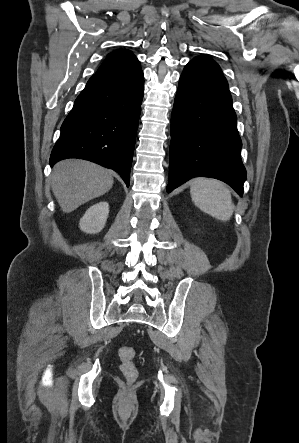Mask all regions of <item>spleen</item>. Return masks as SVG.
I'll return each instance as SVG.
<instances>
[{"mask_svg": "<svg viewBox=\"0 0 299 443\" xmlns=\"http://www.w3.org/2000/svg\"><path fill=\"white\" fill-rule=\"evenodd\" d=\"M191 197L197 207L212 217L227 221L233 213L230 190L217 180L196 179L191 188Z\"/></svg>", "mask_w": 299, "mask_h": 443, "instance_id": "3e777b00", "label": "spleen"}]
</instances>
